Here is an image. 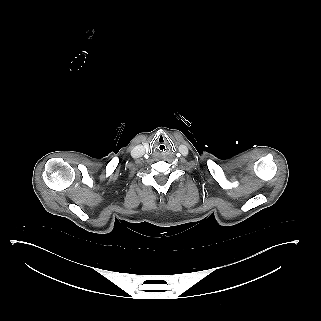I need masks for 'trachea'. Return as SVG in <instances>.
<instances>
[{
    "mask_svg": "<svg viewBox=\"0 0 321 321\" xmlns=\"http://www.w3.org/2000/svg\"><path fill=\"white\" fill-rule=\"evenodd\" d=\"M156 149H157L158 152L163 153V152L166 151L167 146H166L165 143L160 142V143L157 144Z\"/></svg>",
    "mask_w": 321,
    "mask_h": 321,
    "instance_id": "obj_1",
    "label": "trachea"
}]
</instances>
